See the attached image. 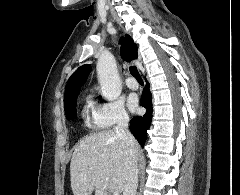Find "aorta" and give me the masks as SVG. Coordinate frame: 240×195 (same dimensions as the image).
Returning <instances> with one entry per match:
<instances>
[{"instance_id": "obj_1", "label": "aorta", "mask_w": 240, "mask_h": 195, "mask_svg": "<svg viewBox=\"0 0 240 195\" xmlns=\"http://www.w3.org/2000/svg\"><path fill=\"white\" fill-rule=\"evenodd\" d=\"M96 70L104 98L111 99V101L119 98L122 92V84L120 82L116 60L110 52H104V54L98 58Z\"/></svg>"}]
</instances>
